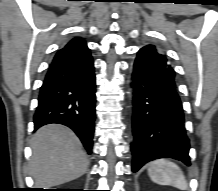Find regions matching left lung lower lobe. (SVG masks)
<instances>
[{"mask_svg": "<svg viewBox=\"0 0 218 191\" xmlns=\"http://www.w3.org/2000/svg\"><path fill=\"white\" fill-rule=\"evenodd\" d=\"M133 88L132 171L164 157L189 166L190 145L174 70L140 50L134 64Z\"/></svg>", "mask_w": 218, "mask_h": 191, "instance_id": "obj_1", "label": "left lung lower lobe"}]
</instances>
